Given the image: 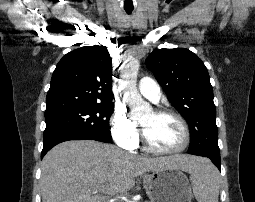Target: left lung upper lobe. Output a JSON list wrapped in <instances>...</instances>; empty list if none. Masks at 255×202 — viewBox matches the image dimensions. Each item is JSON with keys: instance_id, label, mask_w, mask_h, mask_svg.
Returning a JSON list of instances; mask_svg holds the SVG:
<instances>
[{"instance_id": "5c2ea615", "label": "left lung upper lobe", "mask_w": 255, "mask_h": 202, "mask_svg": "<svg viewBox=\"0 0 255 202\" xmlns=\"http://www.w3.org/2000/svg\"><path fill=\"white\" fill-rule=\"evenodd\" d=\"M171 104L190 127L188 152L220 155L216 109L209 74L200 58L188 49H156L146 60Z\"/></svg>"}]
</instances>
